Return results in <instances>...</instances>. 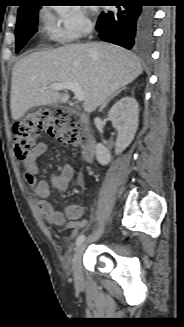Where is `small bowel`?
Returning a JSON list of instances; mask_svg holds the SVG:
<instances>
[{
	"label": "small bowel",
	"instance_id": "1",
	"mask_svg": "<svg viewBox=\"0 0 184 327\" xmlns=\"http://www.w3.org/2000/svg\"><path fill=\"white\" fill-rule=\"evenodd\" d=\"M46 149L47 144L45 142H38L34 151L23 161L25 180L34 188L39 196L37 207L40 214L43 215L50 224L59 227L65 225L66 219H68L67 229L71 232H76L78 229L84 228L87 225V222L81 219L83 214L82 208L79 205L72 204L67 206L64 212L56 210L53 204L48 200L50 194L49 184L37 177L38 167L36 165V159L42 155ZM73 176V167L70 164H65L62 166L59 173L51 172L50 180L57 189L65 190ZM77 182L79 184H84L85 175L83 173L77 175Z\"/></svg>",
	"mask_w": 184,
	"mask_h": 327
}]
</instances>
